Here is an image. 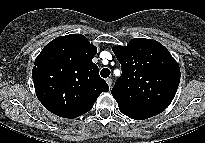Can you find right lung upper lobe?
<instances>
[{
  "label": "right lung upper lobe",
  "mask_w": 205,
  "mask_h": 143,
  "mask_svg": "<svg viewBox=\"0 0 205 143\" xmlns=\"http://www.w3.org/2000/svg\"><path fill=\"white\" fill-rule=\"evenodd\" d=\"M97 48L81 34L58 37L35 59L32 70L36 95L57 116L76 118L87 113L109 86L92 62Z\"/></svg>",
  "instance_id": "right-lung-upper-lobe-1"
}]
</instances>
